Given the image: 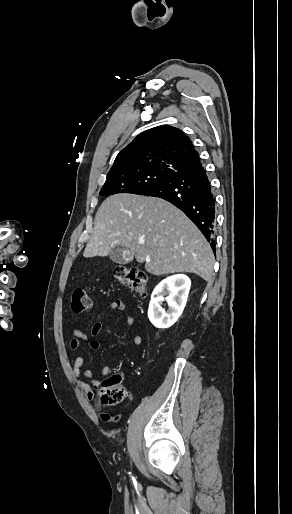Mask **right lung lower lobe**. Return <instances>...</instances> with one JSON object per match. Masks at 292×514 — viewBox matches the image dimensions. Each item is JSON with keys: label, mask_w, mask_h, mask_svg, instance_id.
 I'll use <instances>...</instances> for the list:
<instances>
[{"label": "right lung lower lobe", "mask_w": 292, "mask_h": 514, "mask_svg": "<svg viewBox=\"0 0 292 514\" xmlns=\"http://www.w3.org/2000/svg\"><path fill=\"white\" fill-rule=\"evenodd\" d=\"M143 195L165 199L181 209L215 250L216 201L201 162L172 174Z\"/></svg>", "instance_id": "right-lung-lower-lobe-1"}]
</instances>
